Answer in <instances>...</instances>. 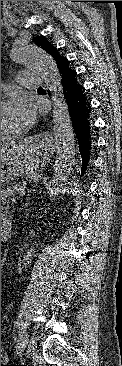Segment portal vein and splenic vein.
<instances>
[{
	"instance_id": "18ae733b",
	"label": "portal vein and splenic vein",
	"mask_w": 122,
	"mask_h": 366,
	"mask_svg": "<svg viewBox=\"0 0 122 366\" xmlns=\"http://www.w3.org/2000/svg\"><path fill=\"white\" fill-rule=\"evenodd\" d=\"M24 191H25V190H22V191H20V193H22V194H23V193H24Z\"/></svg>"
}]
</instances>
